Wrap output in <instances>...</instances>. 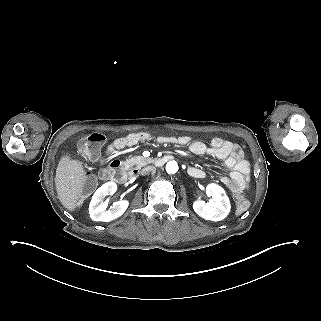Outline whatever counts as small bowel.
I'll return each instance as SVG.
<instances>
[{
	"label": "small bowel",
	"instance_id": "obj_1",
	"mask_svg": "<svg viewBox=\"0 0 321 321\" xmlns=\"http://www.w3.org/2000/svg\"><path fill=\"white\" fill-rule=\"evenodd\" d=\"M150 139L151 135L145 132L129 134L114 140L107 148V153L112 154L116 150ZM157 142L160 144L188 145L190 151L196 155H208L221 160L224 166L230 170V173L227 176H222L220 180L234 193H240L248 186L250 164L244 159L241 148L228 140L216 137L209 144H206L201 141H192L188 136H160L157 138ZM189 173L196 178H203L206 175L198 167H190Z\"/></svg>",
	"mask_w": 321,
	"mask_h": 321
}]
</instances>
